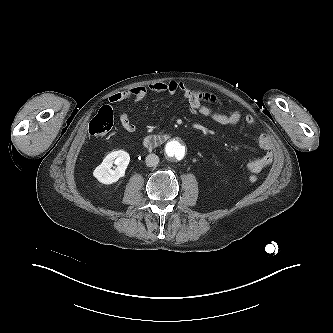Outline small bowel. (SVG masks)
Segmentation results:
<instances>
[{"mask_svg": "<svg viewBox=\"0 0 333 333\" xmlns=\"http://www.w3.org/2000/svg\"><path fill=\"white\" fill-rule=\"evenodd\" d=\"M150 92L165 93L168 95L181 94L187 103V107L192 114H199L210 118L220 125H234L244 121L247 125H253L255 118L251 114L243 115L240 111L234 110L230 113H222L213 110L209 104L224 105L225 100L216 93L201 89L190 88L183 82L169 81L156 82L149 85L129 88L109 97L111 103H118L123 100L140 101ZM123 129L129 133L136 131V125L130 120L129 116L122 112L119 116ZM258 146L264 153L248 162L247 168L251 173L257 174L267 168L273 161L274 153L270 138L266 134H261L258 138Z\"/></svg>", "mask_w": 333, "mask_h": 333, "instance_id": "1", "label": "small bowel"}]
</instances>
